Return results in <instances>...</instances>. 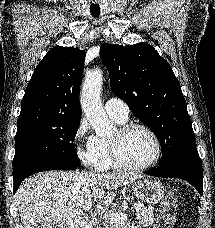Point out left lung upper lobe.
Masks as SVG:
<instances>
[{"mask_svg":"<svg viewBox=\"0 0 215 228\" xmlns=\"http://www.w3.org/2000/svg\"><path fill=\"white\" fill-rule=\"evenodd\" d=\"M100 57L114 94L158 138L161 164L196 147L180 83L168 62L148 43L103 44Z\"/></svg>","mask_w":215,"mask_h":228,"instance_id":"left-lung-upper-lobe-1","label":"left lung upper lobe"}]
</instances>
